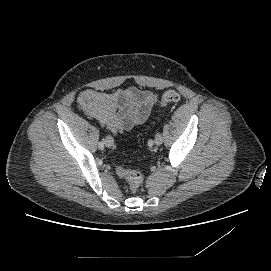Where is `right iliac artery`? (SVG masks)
<instances>
[{"mask_svg": "<svg viewBox=\"0 0 271 271\" xmlns=\"http://www.w3.org/2000/svg\"><path fill=\"white\" fill-rule=\"evenodd\" d=\"M98 147H99V149H103V148H104V142L101 141V142L99 143Z\"/></svg>", "mask_w": 271, "mask_h": 271, "instance_id": "1", "label": "right iliac artery"}]
</instances>
